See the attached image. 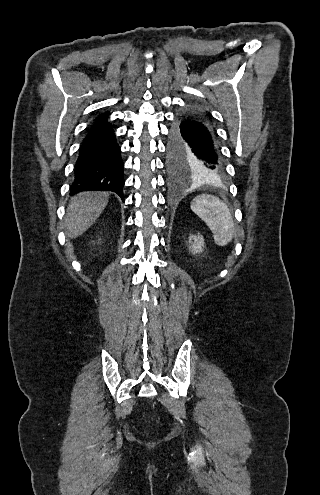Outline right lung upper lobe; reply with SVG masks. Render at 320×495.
<instances>
[{
	"mask_svg": "<svg viewBox=\"0 0 320 495\" xmlns=\"http://www.w3.org/2000/svg\"><path fill=\"white\" fill-rule=\"evenodd\" d=\"M108 115H109V113H107L106 115H104V114H103V115H98V116L95 118V120H94V121H95V122H97V121L103 120V119H105Z\"/></svg>",
	"mask_w": 320,
	"mask_h": 495,
	"instance_id": "obj_1",
	"label": "right lung upper lobe"
}]
</instances>
